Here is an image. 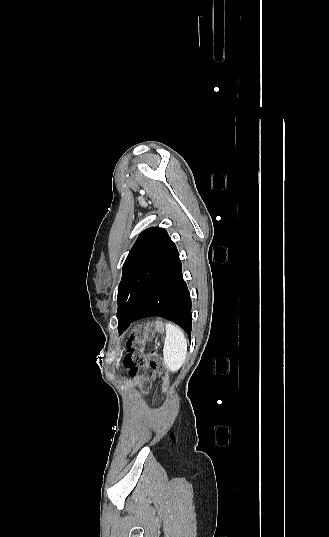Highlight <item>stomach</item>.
<instances>
[{
  "label": "stomach",
  "instance_id": "obj_1",
  "mask_svg": "<svg viewBox=\"0 0 329 537\" xmlns=\"http://www.w3.org/2000/svg\"><path fill=\"white\" fill-rule=\"evenodd\" d=\"M150 327L152 329V332L163 334L166 329V323H164L162 320L157 319L154 322L150 324Z\"/></svg>",
  "mask_w": 329,
  "mask_h": 537
}]
</instances>
